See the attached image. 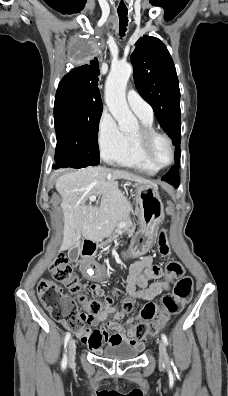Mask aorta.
I'll return each mask as SVG.
<instances>
[{
	"instance_id": "obj_1",
	"label": "aorta",
	"mask_w": 228,
	"mask_h": 396,
	"mask_svg": "<svg viewBox=\"0 0 228 396\" xmlns=\"http://www.w3.org/2000/svg\"><path fill=\"white\" fill-rule=\"evenodd\" d=\"M132 70L129 63L114 64L105 84L106 105L122 132H132L138 126L136 117L128 107L125 95Z\"/></svg>"
}]
</instances>
